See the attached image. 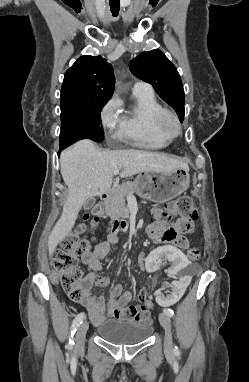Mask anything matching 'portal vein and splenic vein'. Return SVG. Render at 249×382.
Masks as SVG:
<instances>
[{"label":"portal vein and splenic vein","instance_id":"portal-vein-and-splenic-vein-1","mask_svg":"<svg viewBox=\"0 0 249 382\" xmlns=\"http://www.w3.org/2000/svg\"><path fill=\"white\" fill-rule=\"evenodd\" d=\"M114 174H115V175L119 174V169L115 170V171H114Z\"/></svg>","mask_w":249,"mask_h":382}]
</instances>
